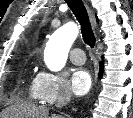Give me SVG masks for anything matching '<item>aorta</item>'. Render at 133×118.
<instances>
[{"mask_svg": "<svg viewBox=\"0 0 133 118\" xmlns=\"http://www.w3.org/2000/svg\"><path fill=\"white\" fill-rule=\"evenodd\" d=\"M78 33L76 24L67 23L52 35L44 53L45 63L51 71H60L65 66L68 52Z\"/></svg>", "mask_w": 133, "mask_h": 118, "instance_id": "aorta-1", "label": "aorta"}]
</instances>
